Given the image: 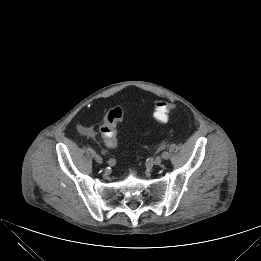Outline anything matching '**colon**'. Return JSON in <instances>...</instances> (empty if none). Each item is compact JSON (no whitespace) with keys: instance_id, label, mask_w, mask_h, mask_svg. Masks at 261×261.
Wrapping results in <instances>:
<instances>
[{"instance_id":"colon-1","label":"colon","mask_w":261,"mask_h":261,"mask_svg":"<svg viewBox=\"0 0 261 261\" xmlns=\"http://www.w3.org/2000/svg\"><path fill=\"white\" fill-rule=\"evenodd\" d=\"M175 108L173 103L157 100L154 103L153 117L159 123H166L170 112ZM124 118V113L120 108L110 109L104 116L100 133L107 146L115 148L118 145L117 124Z\"/></svg>"}]
</instances>
